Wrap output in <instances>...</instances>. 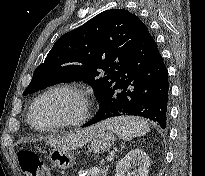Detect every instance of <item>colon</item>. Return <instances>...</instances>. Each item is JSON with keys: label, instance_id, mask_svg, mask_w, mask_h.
Returning a JSON list of instances; mask_svg holds the SVG:
<instances>
[{"label": "colon", "instance_id": "1", "mask_svg": "<svg viewBox=\"0 0 205 176\" xmlns=\"http://www.w3.org/2000/svg\"><path fill=\"white\" fill-rule=\"evenodd\" d=\"M17 162L23 176H48L46 165L32 150H19L17 153Z\"/></svg>", "mask_w": 205, "mask_h": 176}]
</instances>
